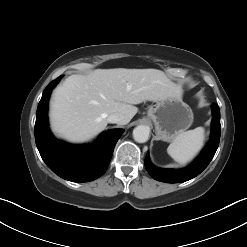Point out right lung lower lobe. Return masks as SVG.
I'll use <instances>...</instances> for the list:
<instances>
[{
    "mask_svg": "<svg viewBox=\"0 0 247 247\" xmlns=\"http://www.w3.org/2000/svg\"><path fill=\"white\" fill-rule=\"evenodd\" d=\"M44 90L38 104L35 141L46 165L58 176L73 182H88L105 173L114 147L123 130L113 129L102 133L94 146H75L56 140L49 131L47 108L50 93L60 78Z\"/></svg>",
    "mask_w": 247,
    "mask_h": 247,
    "instance_id": "right-lung-lower-lobe-1",
    "label": "right lung lower lobe"
}]
</instances>
